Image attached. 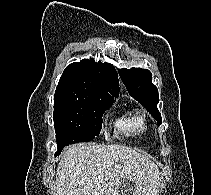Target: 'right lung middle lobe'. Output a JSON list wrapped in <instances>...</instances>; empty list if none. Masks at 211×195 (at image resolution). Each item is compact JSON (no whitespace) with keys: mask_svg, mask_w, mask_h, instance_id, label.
I'll use <instances>...</instances> for the list:
<instances>
[{"mask_svg":"<svg viewBox=\"0 0 211 195\" xmlns=\"http://www.w3.org/2000/svg\"><path fill=\"white\" fill-rule=\"evenodd\" d=\"M112 103L54 98L58 151L69 144L93 140L100 133L102 116Z\"/></svg>","mask_w":211,"mask_h":195,"instance_id":"dd1d6c3e","label":"right lung middle lobe"}]
</instances>
